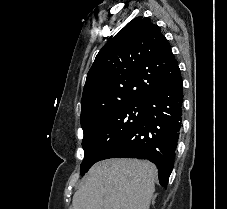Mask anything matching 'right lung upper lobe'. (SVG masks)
<instances>
[{
	"mask_svg": "<svg viewBox=\"0 0 227 209\" xmlns=\"http://www.w3.org/2000/svg\"><path fill=\"white\" fill-rule=\"evenodd\" d=\"M176 64L160 27L149 18L136 17L97 54L83 90L81 120L103 112L104 99L144 102L170 80L156 69Z\"/></svg>",
	"mask_w": 227,
	"mask_h": 209,
	"instance_id": "1",
	"label": "right lung upper lobe"
}]
</instances>
